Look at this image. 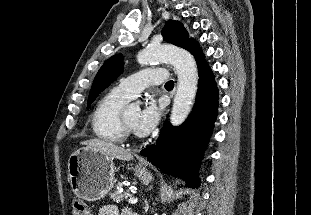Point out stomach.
I'll use <instances>...</instances> for the list:
<instances>
[{
	"label": "stomach",
	"mask_w": 311,
	"mask_h": 215,
	"mask_svg": "<svg viewBox=\"0 0 311 215\" xmlns=\"http://www.w3.org/2000/svg\"><path fill=\"white\" fill-rule=\"evenodd\" d=\"M113 160L88 147L74 151L68 160V176L72 190L79 198L97 201L104 198L114 184ZM136 176L149 184L153 176L147 168L137 166Z\"/></svg>",
	"instance_id": "0dacf381"
}]
</instances>
